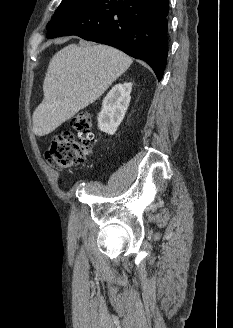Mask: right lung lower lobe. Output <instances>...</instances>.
<instances>
[{
  "label": "right lung lower lobe",
  "mask_w": 233,
  "mask_h": 328,
  "mask_svg": "<svg viewBox=\"0 0 233 328\" xmlns=\"http://www.w3.org/2000/svg\"><path fill=\"white\" fill-rule=\"evenodd\" d=\"M168 0H94L57 20L48 38L77 35L146 61L158 80L168 52Z\"/></svg>",
  "instance_id": "98d812e1"
}]
</instances>
